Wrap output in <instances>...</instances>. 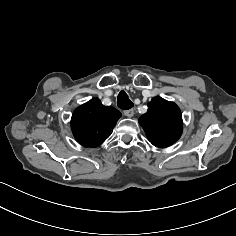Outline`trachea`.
<instances>
[{
  "mask_svg": "<svg viewBox=\"0 0 236 236\" xmlns=\"http://www.w3.org/2000/svg\"><path fill=\"white\" fill-rule=\"evenodd\" d=\"M117 105L120 109L128 110L133 107V102L128 98L125 91H121L118 94Z\"/></svg>",
  "mask_w": 236,
  "mask_h": 236,
  "instance_id": "1",
  "label": "trachea"
}]
</instances>
